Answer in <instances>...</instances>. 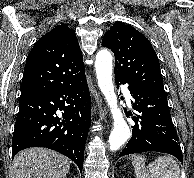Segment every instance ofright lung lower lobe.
<instances>
[{"label":"right lung lower lobe","instance_id":"1","mask_svg":"<svg viewBox=\"0 0 194 178\" xmlns=\"http://www.w3.org/2000/svg\"><path fill=\"white\" fill-rule=\"evenodd\" d=\"M58 110L63 111L62 116H57ZM90 114L86 77L72 85L20 98L12 158L25 148L46 147L69 157L82 171Z\"/></svg>","mask_w":194,"mask_h":178}]
</instances>
